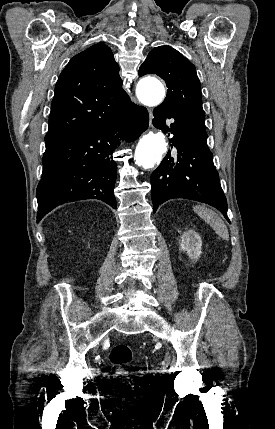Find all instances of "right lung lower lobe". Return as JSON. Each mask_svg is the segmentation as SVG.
I'll list each match as a JSON object with an SVG mask.
<instances>
[{"instance_id": "obj_1", "label": "right lung lower lobe", "mask_w": 275, "mask_h": 429, "mask_svg": "<svg viewBox=\"0 0 275 429\" xmlns=\"http://www.w3.org/2000/svg\"><path fill=\"white\" fill-rule=\"evenodd\" d=\"M148 123L147 110L131 102L109 123L46 143L43 175L36 192L37 222L56 206L77 200L99 199L116 209L113 151L121 138L129 142L137 139Z\"/></svg>"}]
</instances>
